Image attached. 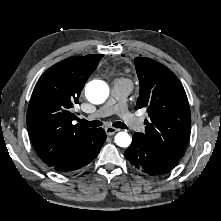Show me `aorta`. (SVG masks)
Listing matches in <instances>:
<instances>
[{
	"label": "aorta",
	"mask_w": 221,
	"mask_h": 221,
	"mask_svg": "<svg viewBox=\"0 0 221 221\" xmlns=\"http://www.w3.org/2000/svg\"><path fill=\"white\" fill-rule=\"evenodd\" d=\"M85 95L91 103L101 104L109 96V87L104 81L93 80L87 84ZM131 141V137L126 132H119L115 136V143L120 147H128Z\"/></svg>",
	"instance_id": "1"
}]
</instances>
